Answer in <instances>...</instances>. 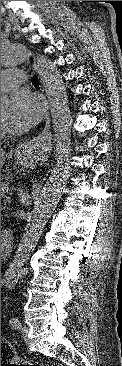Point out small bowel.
<instances>
[{
	"label": "small bowel",
	"mask_w": 122,
	"mask_h": 366,
	"mask_svg": "<svg viewBox=\"0 0 122 366\" xmlns=\"http://www.w3.org/2000/svg\"><path fill=\"white\" fill-rule=\"evenodd\" d=\"M16 277H17L16 269L11 268L6 272L5 277L1 280V284H7L8 285L11 282H13L16 279Z\"/></svg>",
	"instance_id": "c3829d8e"
}]
</instances>
